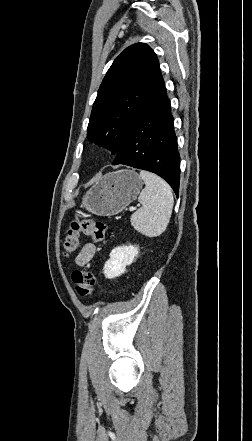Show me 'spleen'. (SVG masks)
I'll list each match as a JSON object with an SVG mask.
<instances>
[{
    "instance_id": "spleen-1",
    "label": "spleen",
    "mask_w": 252,
    "mask_h": 441,
    "mask_svg": "<svg viewBox=\"0 0 252 441\" xmlns=\"http://www.w3.org/2000/svg\"><path fill=\"white\" fill-rule=\"evenodd\" d=\"M145 188L138 198L142 207L131 216V225L139 233L157 237L167 228L173 209L171 187L159 176L140 171Z\"/></svg>"
}]
</instances>
